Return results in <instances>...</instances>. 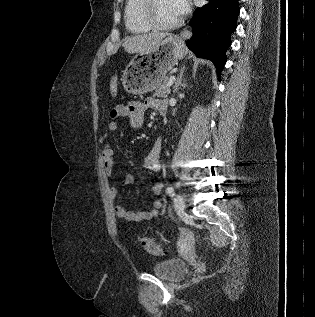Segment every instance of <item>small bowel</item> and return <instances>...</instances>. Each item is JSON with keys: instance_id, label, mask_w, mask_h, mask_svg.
<instances>
[{"instance_id": "1", "label": "small bowel", "mask_w": 315, "mask_h": 317, "mask_svg": "<svg viewBox=\"0 0 315 317\" xmlns=\"http://www.w3.org/2000/svg\"><path fill=\"white\" fill-rule=\"evenodd\" d=\"M148 109H153L157 111L160 115H164L167 109V103L163 99H157L149 97L144 101H132L128 104L115 105L110 110L111 121L107 126V133L101 138L104 142V148L102 151V160L104 164V169L108 177L113 175V167L115 162L114 150L110 142L106 141L108 135L115 132L118 129V124L116 119L119 117L127 116L129 123L134 128H139L143 125L145 112ZM162 148L161 139H157L150 149L149 153L145 157L144 167L152 172H159L161 170L160 163V153ZM135 178L131 174H127L122 184L124 186L133 185ZM152 193L154 195H159L162 191V183H155L152 188ZM110 198L115 200L117 196V188L111 187L109 191ZM162 207V202L158 199L154 200L152 203V208L148 211L133 212L127 210L123 205L117 204L114 207L116 215L128 222L143 223L145 221L151 220L156 217Z\"/></svg>"}]
</instances>
